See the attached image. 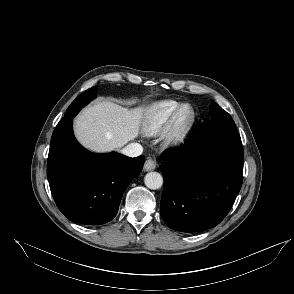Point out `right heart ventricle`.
I'll use <instances>...</instances> for the list:
<instances>
[{
	"mask_svg": "<svg viewBox=\"0 0 294 294\" xmlns=\"http://www.w3.org/2000/svg\"><path fill=\"white\" fill-rule=\"evenodd\" d=\"M180 105V102L172 99L160 100L151 104L144 116V133L149 136L159 133Z\"/></svg>",
	"mask_w": 294,
	"mask_h": 294,
	"instance_id": "right-heart-ventricle-1",
	"label": "right heart ventricle"
}]
</instances>
